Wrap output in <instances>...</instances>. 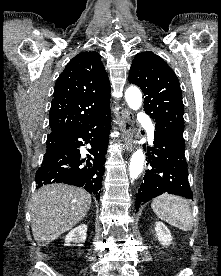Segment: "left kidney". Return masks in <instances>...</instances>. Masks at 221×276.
Masks as SVG:
<instances>
[{
  "instance_id": "left-kidney-1",
  "label": "left kidney",
  "mask_w": 221,
  "mask_h": 276,
  "mask_svg": "<svg viewBox=\"0 0 221 276\" xmlns=\"http://www.w3.org/2000/svg\"><path fill=\"white\" fill-rule=\"evenodd\" d=\"M156 236L162 245H170L172 236L169 229L161 221L155 223Z\"/></svg>"
}]
</instances>
